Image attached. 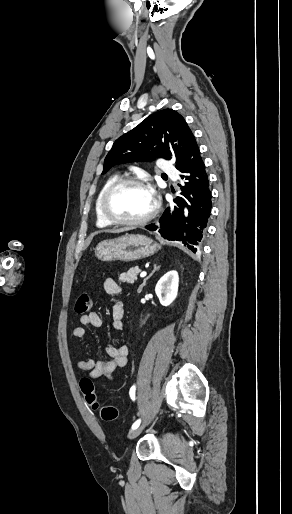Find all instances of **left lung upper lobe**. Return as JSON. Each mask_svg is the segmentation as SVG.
<instances>
[{
  "mask_svg": "<svg viewBox=\"0 0 292 514\" xmlns=\"http://www.w3.org/2000/svg\"><path fill=\"white\" fill-rule=\"evenodd\" d=\"M194 140L182 115L172 109L158 111L114 142L104 160L102 174L118 164L155 158L173 159L178 169Z\"/></svg>",
  "mask_w": 292,
  "mask_h": 514,
  "instance_id": "5c2ea615",
  "label": "left lung upper lobe"
}]
</instances>
